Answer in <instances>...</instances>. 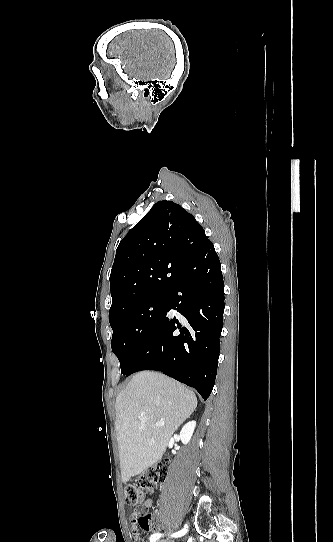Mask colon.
<instances>
[{"label": "colon", "instance_id": "5ec220e1", "mask_svg": "<svg viewBox=\"0 0 333 542\" xmlns=\"http://www.w3.org/2000/svg\"><path fill=\"white\" fill-rule=\"evenodd\" d=\"M168 463H163L161 468L150 466L146 473L141 475L134 484H129L125 489V502L130 506H135L130 509V519L135 526L144 527L147 521V513L149 504L146 501L147 493L154 492L157 486L161 485L165 478Z\"/></svg>", "mask_w": 333, "mask_h": 542}]
</instances>
